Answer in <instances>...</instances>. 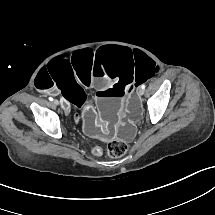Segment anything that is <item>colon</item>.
I'll return each instance as SVG.
<instances>
[{
    "mask_svg": "<svg viewBox=\"0 0 215 215\" xmlns=\"http://www.w3.org/2000/svg\"><path fill=\"white\" fill-rule=\"evenodd\" d=\"M81 95H83L81 93ZM127 151V144L123 141H114L107 145L106 153L110 157L122 156Z\"/></svg>",
    "mask_w": 215,
    "mask_h": 215,
    "instance_id": "5ec220e1",
    "label": "colon"
}]
</instances>
